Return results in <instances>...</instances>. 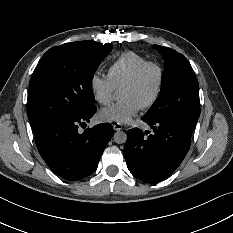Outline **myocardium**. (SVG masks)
Returning <instances> with one entry per match:
<instances>
[{
    "instance_id": "myocardium-1",
    "label": "myocardium",
    "mask_w": 233,
    "mask_h": 233,
    "mask_svg": "<svg viewBox=\"0 0 233 233\" xmlns=\"http://www.w3.org/2000/svg\"><path fill=\"white\" fill-rule=\"evenodd\" d=\"M150 67H155L158 70L159 79L153 97L143 105V108L145 109L154 106L162 94L165 82V69L163 65L158 61H146L140 67H138L136 71L122 85V87H132L136 85L139 82L142 75L144 74V72Z\"/></svg>"
}]
</instances>
